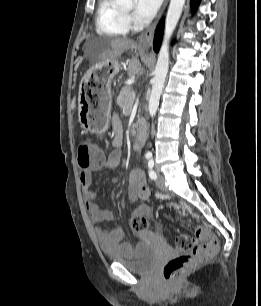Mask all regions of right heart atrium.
<instances>
[{"instance_id": "1", "label": "right heart atrium", "mask_w": 261, "mask_h": 306, "mask_svg": "<svg viewBox=\"0 0 261 306\" xmlns=\"http://www.w3.org/2000/svg\"><path fill=\"white\" fill-rule=\"evenodd\" d=\"M125 17H126L128 24H130L132 22L131 17L129 15H125Z\"/></svg>"}]
</instances>
